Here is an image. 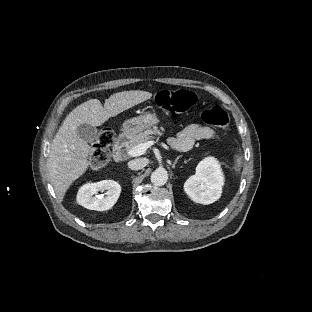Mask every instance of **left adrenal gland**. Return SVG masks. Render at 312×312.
<instances>
[{
	"mask_svg": "<svg viewBox=\"0 0 312 312\" xmlns=\"http://www.w3.org/2000/svg\"><path fill=\"white\" fill-rule=\"evenodd\" d=\"M181 158H182V156L177 157L176 160H175V162H174L173 164H171V163L169 162V165H172V169H175V165L177 164V162H178Z\"/></svg>",
	"mask_w": 312,
	"mask_h": 312,
	"instance_id": "left-adrenal-gland-1",
	"label": "left adrenal gland"
}]
</instances>
